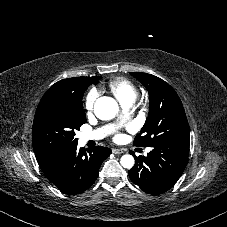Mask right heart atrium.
Here are the masks:
<instances>
[{
	"label": "right heart atrium",
	"mask_w": 227,
	"mask_h": 227,
	"mask_svg": "<svg viewBox=\"0 0 227 227\" xmlns=\"http://www.w3.org/2000/svg\"><path fill=\"white\" fill-rule=\"evenodd\" d=\"M97 96H98V93L94 89L90 90L86 94L84 99V108L86 112L90 113L93 110Z\"/></svg>",
	"instance_id": "1"
}]
</instances>
